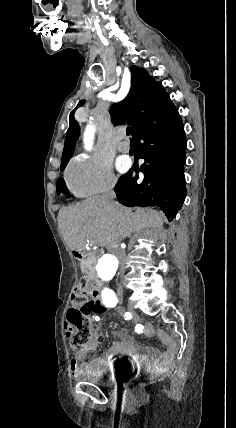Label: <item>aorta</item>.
I'll return each mask as SVG.
<instances>
[{
  "label": "aorta",
  "instance_id": "762f6f07",
  "mask_svg": "<svg viewBox=\"0 0 236 428\" xmlns=\"http://www.w3.org/2000/svg\"><path fill=\"white\" fill-rule=\"evenodd\" d=\"M94 132H95L94 127L92 125H88L84 135V142L86 144V148L88 149H90L92 146ZM118 265H119L118 260L114 255L112 254L103 255L99 259L96 266L98 278L103 282L111 281L117 274ZM110 292L111 290L108 287H105L102 290V294H106Z\"/></svg>",
  "mask_w": 236,
  "mask_h": 428
}]
</instances>
